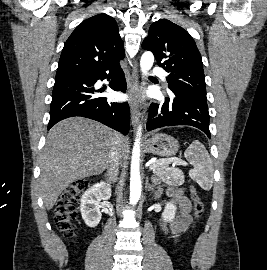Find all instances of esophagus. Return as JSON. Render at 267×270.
Instances as JSON below:
<instances>
[{
  "label": "esophagus",
  "mask_w": 267,
  "mask_h": 270,
  "mask_svg": "<svg viewBox=\"0 0 267 270\" xmlns=\"http://www.w3.org/2000/svg\"><path fill=\"white\" fill-rule=\"evenodd\" d=\"M128 93L131 97L130 110L133 129L135 131L139 121V71L137 62L133 66L132 76L128 81Z\"/></svg>",
  "instance_id": "34e87169"
}]
</instances>
